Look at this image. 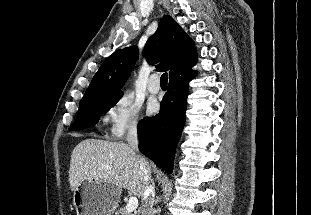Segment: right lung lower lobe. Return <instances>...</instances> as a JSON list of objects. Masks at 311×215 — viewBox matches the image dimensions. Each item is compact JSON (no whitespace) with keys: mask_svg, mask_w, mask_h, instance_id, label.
<instances>
[{"mask_svg":"<svg viewBox=\"0 0 311 215\" xmlns=\"http://www.w3.org/2000/svg\"><path fill=\"white\" fill-rule=\"evenodd\" d=\"M195 75L188 69L171 78L160 112L138 124L140 152L167 173L172 171L175 148L185 123L188 83Z\"/></svg>","mask_w":311,"mask_h":215,"instance_id":"98d812e1","label":"right lung lower lobe"}]
</instances>
